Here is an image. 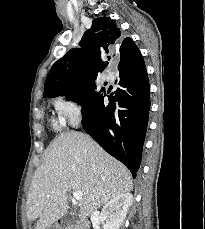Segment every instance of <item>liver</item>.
<instances>
[{
	"instance_id": "liver-1",
	"label": "liver",
	"mask_w": 205,
	"mask_h": 229,
	"mask_svg": "<svg viewBox=\"0 0 205 229\" xmlns=\"http://www.w3.org/2000/svg\"><path fill=\"white\" fill-rule=\"evenodd\" d=\"M129 170L81 132L62 133L48 146L27 197V218L48 229L68 211V192L81 191L82 216L131 191Z\"/></svg>"
}]
</instances>
